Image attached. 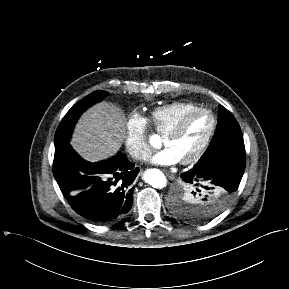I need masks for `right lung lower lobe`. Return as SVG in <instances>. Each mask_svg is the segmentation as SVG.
<instances>
[{"instance_id": "98d812e1", "label": "right lung lower lobe", "mask_w": 289, "mask_h": 289, "mask_svg": "<svg viewBox=\"0 0 289 289\" xmlns=\"http://www.w3.org/2000/svg\"><path fill=\"white\" fill-rule=\"evenodd\" d=\"M138 171L121 152L91 163L69 141L55 148L53 174L63 195L74 211L97 224L114 222L130 211Z\"/></svg>"}]
</instances>
